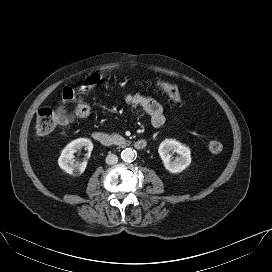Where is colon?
<instances>
[{
  "instance_id": "obj_1",
  "label": "colon",
  "mask_w": 272,
  "mask_h": 272,
  "mask_svg": "<svg viewBox=\"0 0 272 272\" xmlns=\"http://www.w3.org/2000/svg\"><path fill=\"white\" fill-rule=\"evenodd\" d=\"M100 76L97 74L87 77L80 86V91L89 94L98 85ZM156 85L161 88L172 100L181 101L182 95L179 88L164 81H157ZM91 113L90 105L78 97L74 89L66 87L62 92V103L55 107H44L38 110L35 120V133L39 137L46 136L57 127L65 126L77 118H86ZM224 145L220 140L214 139L209 143L212 153L223 151Z\"/></svg>"
}]
</instances>
